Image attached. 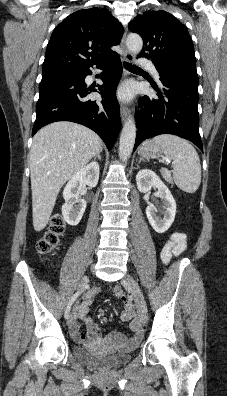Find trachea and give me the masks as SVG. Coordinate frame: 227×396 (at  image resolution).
I'll return each instance as SVG.
<instances>
[{"label":"trachea","instance_id":"3493384b","mask_svg":"<svg viewBox=\"0 0 227 396\" xmlns=\"http://www.w3.org/2000/svg\"><path fill=\"white\" fill-rule=\"evenodd\" d=\"M124 66H125L126 69H128L130 71H142L141 68H139L137 66H134V65H132V64H130L128 62H124Z\"/></svg>","mask_w":227,"mask_h":396}]
</instances>
